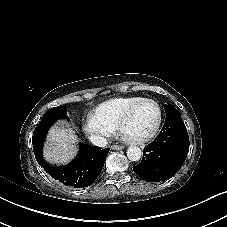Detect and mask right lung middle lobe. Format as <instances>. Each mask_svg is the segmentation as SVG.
Instances as JSON below:
<instances>
[{
    "label": "right lung middle lobe",
    "mask_w": 227,
    "mask_h": 227,
    "mask_svg": "<svg viewBox=\"0 0 227 227\" xmlns=\"http://www.w3.org/2000/svg\"><path fill=\"white\" fill-rule=\"evenodd\" d=\"M66 113L67 108L64 106L53 107L44 114L38 126L51 125L58 119H69Z\"/></svg>",
    "instance_id": "dd1d6c3e"
}]
</instances>
